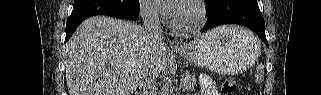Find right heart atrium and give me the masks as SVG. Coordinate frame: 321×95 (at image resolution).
I'll return each instance as SVG.
<instances>
[{"mask_svg":"<svg viewBox=\"0 0 321 95\" xmlns=\"http://www.w3.org/2000/svg\"><path fill=\"white\" fill-rule=\"evenodd\" d=\"M141 14L143 18L149 22H155L158 20V11L149 1H142Z\"/></svg>","mask_w":321,"mask_h":95,"instance_id":"1","label":"right heart atrium"}]
</instances>
